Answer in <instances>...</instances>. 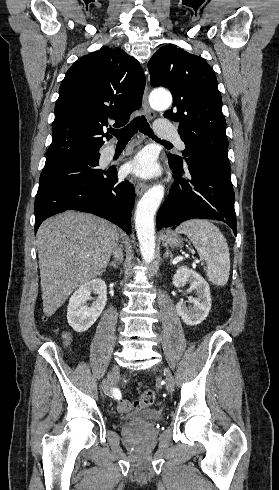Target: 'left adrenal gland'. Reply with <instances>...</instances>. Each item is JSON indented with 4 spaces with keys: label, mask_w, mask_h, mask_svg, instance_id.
Instances as JSON below:
<instances>
[{
    "label": "left adrenal gland",
    "mask_w": 279,
    "mask_h": 490,
    "mask_svg": "<svg viewBox=\"0 0 279 490\" xmlns=\"http://www.w3.org/2000/svg\"><path fill=\"white\" fill-rule=\"evenodd\" d=\"M163 258H170L171 262L173 260V254H172V252H169L168 248H166V252H165Z\"/></svg>",
    "instance_id": "1"
}]
</instances>
